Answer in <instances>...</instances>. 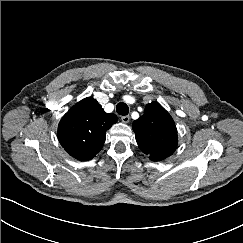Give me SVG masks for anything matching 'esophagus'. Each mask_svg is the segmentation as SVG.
<instances>
[{"label": "esophagus", "instance_id": "1", "mask_svg": "<svg viewBox=\"0 0 243 243\" xmlns=\"http://www.w3.org/2000/svg\"><path fill=\"white\" fill-rule=\"evenodd\" d=\"M122 122L128 123L130 121V117L128 115L122 116L121 117Z\"/></svg>", "mask_w": 243, "mask_h": 243}]
</instances>
